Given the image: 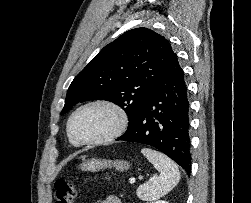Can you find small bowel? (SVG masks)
<instances>
[{
    "label": "small bowel",
    "mask_w": 251,
    "mask_h": 203,
    "mask_svg": "<svg viewBox=\"0 0 251 203\" xmlns=\"http://www.w3.org/2000/svg\"><path fill=\"white\" fill-rule=\"evenodd\" d=\"M96 203H121V201L116 197H106Z\"/></svg>",
    "instance_id": "obj_1"
}]
</instances>
